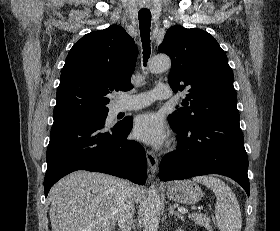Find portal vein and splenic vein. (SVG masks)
I'll list each match as a JSON object with an SVG mask.
<instances>
[{
    "instance_id": "portal-vein-and-splenic-vein-1",
    "label": "portal vein and splenic vein",
    "mask_w": 280,
    "mask_h": 231,
    "mask_svg": "<svg viewBox=\"0 0 280 231\" xmlns=\"http://www.w3.org/2000/svg\"><path fill=\"white\" fill-rule=\"evenodd\" d=\"M180 211H183V213H184V211H186V209H180Z\"/></svg>"
}]
</instances>
